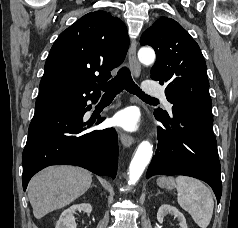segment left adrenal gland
Wrapping results in <instances>:
<instances>
[{"instance_id":"a2214340","label":"left adrenal gland","mask_w":238,"mask_h":228,"mask_svg":"<svg viewBox=\"0 0 238 228\" xmlns=\"http://www.w3.org/2000/svg\"><path fill=\"white\" fill-rule=\"evenodd\" d=\"M160 193H161L160 191L157 192V194H160Z\"/></svg>"}]
</instances>
